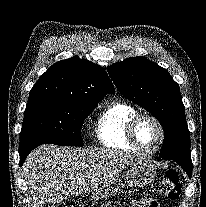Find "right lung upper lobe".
<instances>
[{"instance_id": "obj_1", "label": "right lung upper lobe", "mask_w": 206, "mask_h": 207, "mask_svg": "<svg viewBox=\"0 0 206 207\" xmlns=\"http://www.w3.org/2000/svg\"><path fill=\"white\" fill-rule=\"evenodd\" d=\"M114 87L106 71L88 60L73 57L53 64L35 83L28 102L56 99L97 104Z\"/></svg>"}]
</instances>
